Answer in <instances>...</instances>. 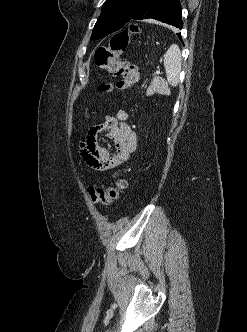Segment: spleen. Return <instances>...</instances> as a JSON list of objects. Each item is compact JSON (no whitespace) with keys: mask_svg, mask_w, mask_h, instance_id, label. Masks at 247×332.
<instances>
[{"mask_svg":"<svg viewBox=\"0 0 247 332\" xmlns=\"http://www.w3.org/2000/svg\"><path fill=\"white\" fill-rule=\"evenodd\" d=\"M181 52L177 45L172 44L164 55V67L168 83L175 87L179 83V74L181 72ZM160 93L167 94V89H159Z\"/></svg>","mask_w":247,"mask_h":332,"instance_id":"spleen-1","label":"spleen"}]
</instances>
